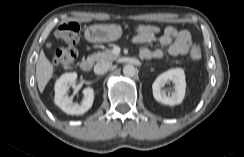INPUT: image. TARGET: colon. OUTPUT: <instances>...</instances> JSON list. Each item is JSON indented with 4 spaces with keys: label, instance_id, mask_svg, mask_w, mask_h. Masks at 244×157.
<instances>
[{
    "label": "colon",
    "instance_id": "5ec220e1",
    "mask_svg": "<svg viewBox=\"0 0 244 157\" xmlns=\"http://www.w3.org/2000/svg\"><path fill=\"white\" fill-rule=\"evenodd\" d=\"M134 32L139 34L156 35L160 32V28L153 24L138 25ZM56 37L65 43V46L56 49L52 56V62L55 66L65 70L72 69L77 58V51L74 46L81 40V28L76 22H68L60 25L55 32ZM190 55L193 59L198 60L202 56L199 45L194 44L191 48Z\"/></svg>",
    "mask_w": 244,
    "mask_h": 157
}]
</instances>
